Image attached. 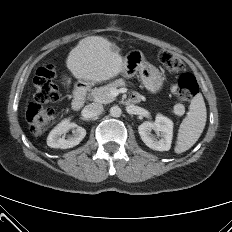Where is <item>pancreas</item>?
Listing matches in <instances>:
<instances>
[{"mask_svg":"<svg viewBox=\"0 0 232 232\" xmlns=\"http://www.w3.org/2000/svg\"><path fill=\"white\" fill-rule=\"evenodd\" d=\"M124 80H116L106 86L95 88L91 92V98L98 103L107 104L115 100V97L111 95V91L121 86H125Z\"/></svg>","mask_w":232,"mask_h":232,"instance_id":"1","label":"pancreas"}]
</instances>
